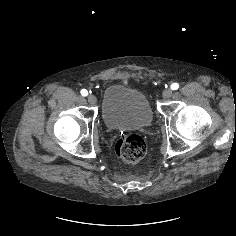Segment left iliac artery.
I'll return each mask as SVG.
<instances>
[{
	"instance_id": "left-iliac-artery-1",
	"label": "left iliac artery",
	"mask_w": 236,
	"mask_h": 236,
	"mask_svg": "<svg viewBox=\"0 0 236 236\" xmlns=\"http://www.w3.org/2000/svg\"><path fill=\"white\" fill-rule=\"evenodd\" d=\"M172 90H177L179 88V84L178 83H173L171 86Z\"/></svg>"
}]
</instances>
